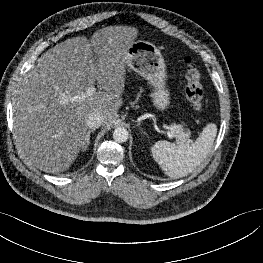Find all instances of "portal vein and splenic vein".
Returning a JSON list of instances; mask_svg holds the SVG:
<instances>
[{
  "instance_id": "18ae733b",
  "label": "portal vein and splenic vein",
  "mask_w": 263,
  "mask_h": 263,
  "mask_svg": "<svg viewBox=\"0 0 263 263\" xmlns=\"http://www.w3.org/2000/svg\"><path fill=\"white\" fill-rule=\"evenodd\" d=\"M94 93H96V88L95 87H89L85 93H83L81 95L72 96L69 98V100L71 102H78L80 100L85 99L87 96H92ZM166 134L170 139H173L174 135L168 128H167Z\"/></svg>"
}]
</instances>
